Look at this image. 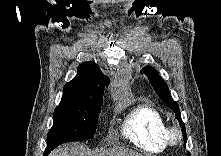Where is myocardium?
Masks as SVG:
<instances>
[{"mask_svg":"<svg viewBox=\"0 0 221 156\" xmlns=\"http://www.w3.org/2000/svg\"><path fill=\"white\" fill-rule=\"evenodd\" d=\"M183 140V131L180 127L174 126L169 131V141L172 144H179Z\"/></svg>","mask_w":221,"mask_h":156,"instance_id":"obj_1","label":"myocardium"}]
</instances>
